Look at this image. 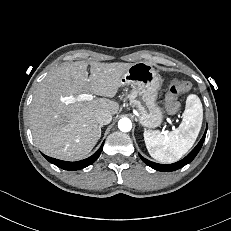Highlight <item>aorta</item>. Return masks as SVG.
<instances>
[{
  "instance_id": "1",
  "label": "aorta",
  "mask_w": 231,
  "mask_h": 231,
  "mask_svg": "<svg viewBox=\"0 0 231 231\" xmlns=\"http://www.w3.org/2000/svg\"><path fill=\"white\" fill-rule=\"evenodd\" d=\"M118 128L122 132H129L132 129V122L128 118H122L118 122Z\"/></svg>"
}]
</instances>
